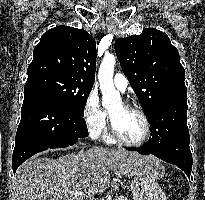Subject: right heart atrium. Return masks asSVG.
I'll return each instance as SVG.
<instances>
[{
	"label": "right heart atrium",
	"instance_id": "d8ad5b80",
	"mask_svg": "<svg viewBox=\"0 0 205 200\" xmlns=\"http://www.w3.org/2000/svg\"><path fill=\"white\" fill-rule=\"evenodd\" d=\"M83 119L85 126L94 138L101 137L107 128V113L100 105L98 94L92 91L85 102L83 109Z\"/></svg>",
	"mask_w": 205,
	"mask_h": 200
}]
</instances>
